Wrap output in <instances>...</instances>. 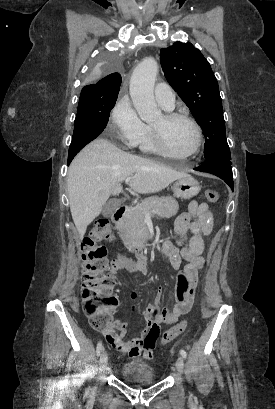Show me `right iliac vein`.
I'll return each mask as SVG.
<instances>
[{"label": "right iliac vein", "mask_w": 275, "mask_h": 409, "mask_svg": "<svg viewBox=\"0 0 275 409\" xmlns=\"http://www.w3.org/2000/svg\"><path fill=\"white\" fill-rule=\"evenodd\" d=\"M108 363V355L105 351H103V353L100 356V370L105 369V367L107 366Z\"/></svg>", "instance_id": "obj_1"}]
</instances>
